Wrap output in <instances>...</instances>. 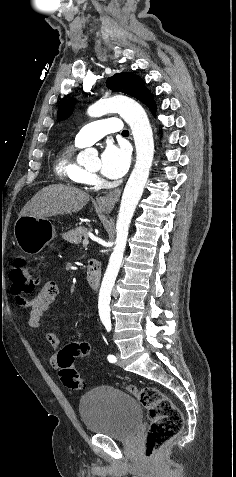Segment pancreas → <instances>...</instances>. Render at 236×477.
Listing matches in <instances>:
<instances>
[{
  "label": "pancreas",
  "instance_id": "obj_1",
  "mask_svg": "<svg viewBox=\"0 0 236 477\" xmlns=\"http://www.w3.org/2000/svg\"><path fill=\"white\" fill-rule=\"evenodd\" d=\"M88 230L86 227L80 226L77 227L74 230H70L67 233L63 234L64 240L73 243V244H79L82 241V237H87Z\"/></svg>",
  "mask_w": 236,
  "mask_h": 477
}]
</instances>
